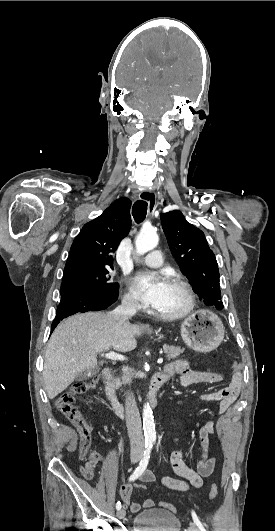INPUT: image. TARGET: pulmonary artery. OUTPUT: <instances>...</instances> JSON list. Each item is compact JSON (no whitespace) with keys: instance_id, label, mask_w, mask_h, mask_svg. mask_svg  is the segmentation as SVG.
Masks as SVG:
<instances>
[{"instance_id":"pulmonary-artery-1","label":"pulmonary artery","mask_w":275,"mask_h":531,"mask_svg":"<svg viewBox=\"0 0 275 531\" xmlns=\"http://www.w3.org/2000/svg\"><path fill=\"white\" fill-rule=\"evenodd\" d=\"M161 256H162L161 251L156 250V251H154L153 255L148 256L147 258L140 259L139 261L140 262H144V263L150 265L151 267L154 266V265L160 266Z\"/></svg>"}]
</instances>
